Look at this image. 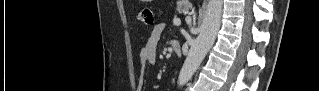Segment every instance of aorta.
<instances>
[{
    "instance_id": "obj_1",
    "label": "aorta",
    "mask_w": 319,
    "mask_h": 91,
    "mask_svg": "<svg viewBox=\"0 0 319 91\" xmlns=\"http://www.w3.org/2000/svg\"><path fill=\"white\" fill-rule=\"evenodd\" d=\"M223 0H209L198 37L192 42L180 70L178 85H185L196 72L202 60L213 46L221 25Z\"/></svg>"
}]
</instances>
